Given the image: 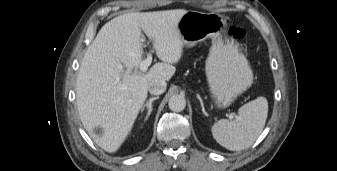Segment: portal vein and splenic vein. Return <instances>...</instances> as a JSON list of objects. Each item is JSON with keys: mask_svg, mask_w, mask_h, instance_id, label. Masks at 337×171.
<instances>
[{"mask_svg": "<svg viewBox=\"0 0 337 171\" xmlns=\"http://www.w3.org/2000/svg\"><path fill=\"white\" fill-rule=\"evenodd\" d=\"M151 62H152V54L149 53L147 55V58L140 63V65H139L140 70L142 72H146L148 67L150 66ZM120 67L122 68V65H120ZM229 118L232 119L233 115H230Z\"/></svg>", "mask_w": 337, "mask_h": 171, "instance_id": "portal-vein-and-splenic-vein-1", "label": "portal vein and splenic vein"}]
</instances>
